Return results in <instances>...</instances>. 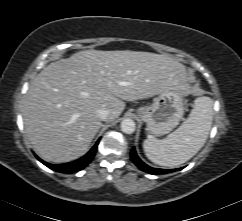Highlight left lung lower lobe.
Instances as JSON below:
<instances>
[{
    "instance_id": "0a47b994",
    "label": "left lung lower lobe",
    "mask_w": 242,
    "mask_h": 221,
    "mask_svg": "<svg viewBox=\"0 0 242 221\" xmlns=\"http://www.w3.org/2000/svg\"><path fill=\"white\" fill-rule=\"evenodd\" d=\"M131 159L134 162V164L142 171L147 172L149 174H162V173H169V172H174L178 171L181 168L178 169H157V168H152L148 165H146L144 162L141 161V159L138 157L135 148H132L131 150Z\"/></svg>"
}]
</instances>
